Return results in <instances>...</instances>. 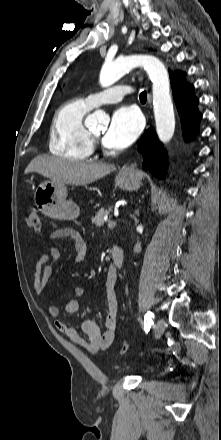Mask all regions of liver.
Returning <instances> with one entry per match:
<instances>
[{
  "mask_svg": "<svg viewBox=\"0 0 221 440\" xmlns=\"http://www.w3.org/2000/svg\"><path fill=\"white\" fill-rule=\"evenodd\" d=\"M114 169L113 165L106 163L79 162L41 155L29 163L25 174L36 172L59 183L80 186L90 184Z\"/></svg>",
  "mask_w": 221,
  "mask_h": 440,
  "instance_id": "obj_1",
  "label": "liver"
}]
</instances>
